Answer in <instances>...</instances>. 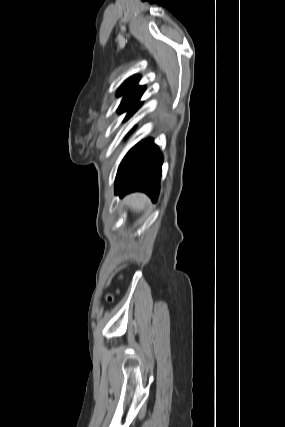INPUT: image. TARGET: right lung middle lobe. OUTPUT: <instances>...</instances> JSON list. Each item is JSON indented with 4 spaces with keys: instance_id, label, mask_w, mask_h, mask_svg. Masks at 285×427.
Here are the masks:
<instances>
[{
    "instance_id": "obj_1",
    "label": "right lung middle lobe",
    "mask_w": 285,
    "mask_h": 427,
    "mask_svg": "<svg viewBox=\"0 0 285 427\" xmlns=\"http://www.w3.org/2000/svg\"><path fill=\"white\" fill-rule=\"evenodd\" d=\"M132 116V114L131 115H127L126 116V118H125V120H127L128 118H130Z\"/></svg>"
}]
</instances>
